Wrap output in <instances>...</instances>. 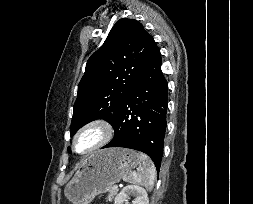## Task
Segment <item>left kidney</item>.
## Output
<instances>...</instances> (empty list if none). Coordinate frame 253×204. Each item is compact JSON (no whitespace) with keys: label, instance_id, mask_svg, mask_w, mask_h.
<instances>
[{"label":"left kidney","instance_id":"obj_1","mask_svg":"<svg viewBox=\"0 0 253 204\" xmlns=\"http://www.w3.org/2000/svg\"><path fill=\"white\" fill-rule=\"evenodd\" d=\"M130 196L135 197L133 204H149L147 191L138 185L124 187L116 196L114 204H123Z\"/></svg>","mask_w":253,"mask_h":204}]
</instances>
